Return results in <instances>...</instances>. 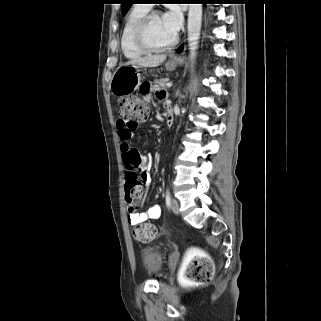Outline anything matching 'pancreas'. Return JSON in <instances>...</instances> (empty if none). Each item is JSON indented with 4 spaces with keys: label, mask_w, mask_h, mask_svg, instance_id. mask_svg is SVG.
Segmentation results:
<instances>
[{
    "label": "pancreas",
    "mask_w": 321,
    "mask_h": 321,
    "mask_svg": "<svg viewBox=\"0 0 321 321\" xmlns=\"http://www.w3.org/2000/svg\"><path fill=\"white\" fill-rule=\"evenodd\" d=\"M168 81H169L168 78H162V79L156 80L155 84L157 87L165 88V85L167 84Z\"/></svg>",
    "instance_id": "pancreas-1"
}]
</instances>
